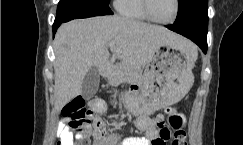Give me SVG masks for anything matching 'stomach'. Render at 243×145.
<instances>
[{
	"label": "stomach",
	"mask_w": 243,
	"mask_h": 145,
	"mask_svg": "<svg viewBox=\"0 0 243 145\" xmlns=\"http://www.w3.org/2000/svg\"><path fill=\"white\" fill-rule=\"evenodd\" d=\"M197 55L192 44L184 49L159 47L143 73V94H122L123 103H131L134 114L145 115L177 103L193 85Z\"/></svg>",
	"instance_id": "obj_1"
}]
</instances>
